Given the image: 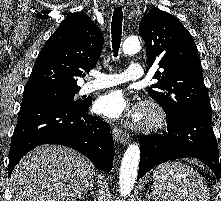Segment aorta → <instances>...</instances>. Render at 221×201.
<instances>
[{"label": "aorta", "instance_id": "aorta-1", "mask_svg": "<svg viewBox=\"0 0 221 201\" xmlns=\"http://www.w3.org/2000/svg\"><path fill=\"white\" fill-rule=\"evenodd\" d=\"M140 41L136 36L128 37L123 43V53L132 55L140 50ZM140 160V148L137 144H130L124 153L120 174H119V191L121 196H127L131 193L136 178Z\"/></svg>", "mask_w": 221, "mask_h": 201}]
</instances>
